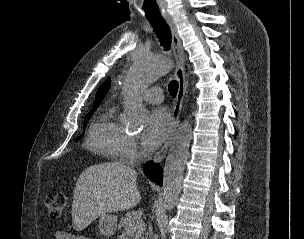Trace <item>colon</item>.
<instances>
[{"label": "colon", "instance_id": "obj_1", "mask_svg": "<svg viewBox=\"0 0 304 239\" xmlns=\"http://www.w3.org/2000/svg\"><path fill=\"white\" fill-rule=\"evenodd\" d=\"M43 200L52 217H59L66 206V196L61 193L47 194Z\"/></svg>", "mask_w": 304, "mask_h": 239}]
</instances>
